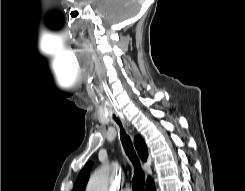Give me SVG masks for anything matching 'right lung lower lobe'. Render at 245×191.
<instances>
[{
  "instance_id": "obj_1",
  "label": "right lung lower lobe",
  "mask_w": 245,
  "mask_h": 191,
  "mask_svg": "<svg viewBox=\"0 0 245 191\" xmlns=\"http://www.w3.org/2000/svg\"><path fill=\"white\" fill-rule=\"evenodd\" d=\"M146 191H156V187L152 178L146 181Z\"/></svg>"
}]
</instances>
